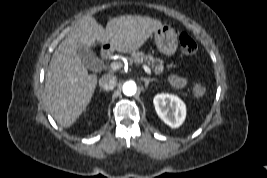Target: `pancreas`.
<instances>
[{
	"instance_id": "obj_1",
	"label": "pancreas",
	"mask_w": 267,
	"mask_h": 178,
	"mask_svg": "<svg viewBox=\"0 0 267 178\" xmlns=\"http://www.w3.org/2000/svg\"><path fill=\"white\" fill-rule=\"evenodd\" d=\"M132 61L146 63L156 73V75L163 73L164 64L159 58H154L151 55H145L143 53H134L132 55Z\"/></svg>"
}]
</instances>
